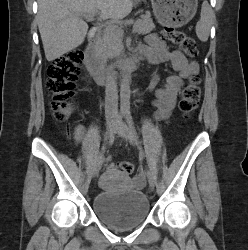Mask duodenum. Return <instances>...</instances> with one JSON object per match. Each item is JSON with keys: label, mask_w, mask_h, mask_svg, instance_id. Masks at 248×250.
Masks as SVG:
<instances>
[{"label": "duodenum", "mask_w": 248, "mask_h": 250, "mask_svg": "<svg viewBox=\"0 0 248 250\" xmlns=\"http://www.w3.org/2000/svg\"><path fill=\"white\" fill-rule=\"evenodd\" d=\"M100 34V26L94 25L90 28L88 34V43L84 51V64L97 82L105 83L113 75L125 74L140 65L141 61L144 59V56L141 54L133 55L115 65L105 64L98 54Z\"/></svg>", "instance_id": "410a0bca"}]
</instances>
